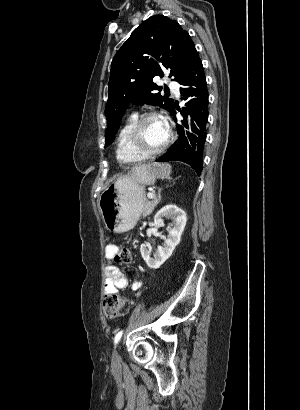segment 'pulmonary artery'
I'll return each mask as SVG.
<instances>
[{
    "label": "pulmonary artery",
    "instance_id": "1",
    "mask_svg": "<svg viewBox=\"0 0 300 410\" xmlns=\"http://www.w3.org/2000/svg\"><path fill=\"white\" fill-rule=\"evenodd\" d=\"M169 86L176 95L179 94V87L174 81L170 80L169 81Z\"/></svg>",
    "mask_w": 300,
    "mask_h": 410
}]
</instances>
